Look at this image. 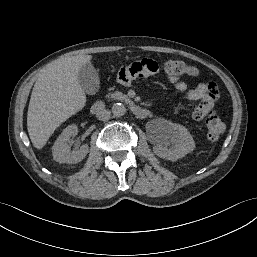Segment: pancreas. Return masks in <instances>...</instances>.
I'll use <instances>...</instances> for the list:
<instances>
[{"mask_svg": "<svg viewBox=\"0 0 257 257\" xmlns=\"http://www.w3.org/2000/svg\"><path fill=\"white\" fill-rule=\"evenodd\" d=\"M108 98H112V99H122L125 100L127 99V96L124 95L122 92L116 91L114 93H109L107 95Z\"/></svg>", "mask_w": 257, "mask_h": 257, "instance_id": "obj_1", "label": "pancreas"}]
</instances>
